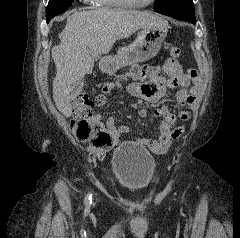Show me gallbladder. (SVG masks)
<instances>
[{"mask_svg":"<svg viewBox=\"0 0 240 238\" xmlns=\"http://www.w3.org/2000/svg\"><path fill=\"white\" fill-rule=\"evenodd\" d=\"M82 86H83V83H81V82L76 83V84L73 86L74 94H77V92L82 88Z\"/></svg>","mask_w":240,"mask_h":238,"instance_id":"gallbladder-1","label":"gallbladder"}]
</instances>
